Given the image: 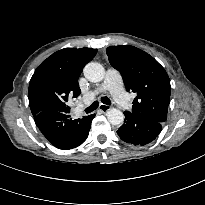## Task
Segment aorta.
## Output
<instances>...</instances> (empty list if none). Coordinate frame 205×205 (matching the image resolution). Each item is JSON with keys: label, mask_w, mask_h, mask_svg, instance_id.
Returning a JSON list of instances; mask_svg holds the SVG:
<instances>
[{"label": "aorta", "mask_w": 205, "mask_h": 205, "mask_svg": "<svg viewBox=\"0 0 205 205\" xmlns=\"http://www.w3.org/2000/svg\"><path fill=\"white\" fill-rule=\"evenodd\" d=\"M84 76L90 82H100L105 76L104 67L97 62H90L84 67ZM107 119L112 125H121L124 121V114L116 108H111L107 112Z\"/></svg>", "instance_id": "obj_1"}]
</instances>
